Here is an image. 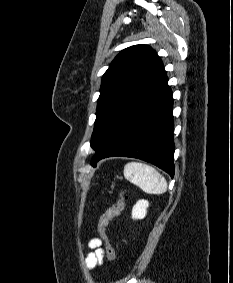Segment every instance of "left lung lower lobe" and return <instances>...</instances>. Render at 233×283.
I'll use <instances>...</instances> for the list:
<instances>
[{
    "label": "left lung lower lobe",
    "mask_w": 233,
    "mask_h": 283,
    "mask_svg": "<svg viewBox=\"0 0 233 283\" xmlns=\"http://www.w3.org/2000/svg\"><path fill=\"white\" fill-rule=\"evenodd\" d=\"M162 67L95 152L91 164L110 156L150 162L174 176L173 98Z\"/></svg>",
    "instance_id": "obj_1"
}]
</instances>
